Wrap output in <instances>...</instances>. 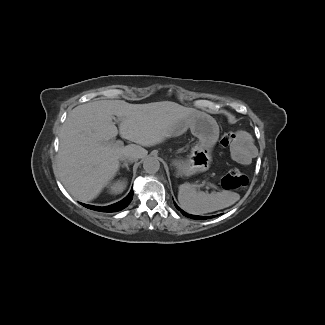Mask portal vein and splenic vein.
<instances>
[{
    "instance_id": "18ae733b",
    "label": "portal vein and splenic vein",
    "mask_w": 325,
    "mask_h": 325,
    "mask_svg": "<svg viewBox=\"0 0 325 325\" xmlns=\"http://www.w3.org/2000/svg\"><path fill=\"white\" fill-rule=\"evenodd\" d=\"M119 144H122V142L121 141H117Z\"/></svg>"
}]
</instances>
